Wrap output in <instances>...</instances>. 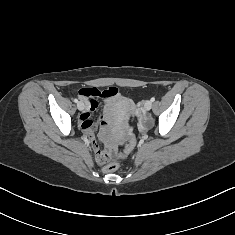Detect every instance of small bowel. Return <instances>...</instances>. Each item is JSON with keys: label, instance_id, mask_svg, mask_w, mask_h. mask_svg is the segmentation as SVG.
Wrapping results in <instances>:
<instances>
[{"label": "small bowel", "instance_id": "small-bowel-1", "mask_svg": "<svg viewBox=\"0 0 235 235\" xmlns=\"http://www.w3.org/2000/svg\"><path fill=\"white\" fill-rule=\"evenodd\" d=\"M89 91L100 92L96 88H83L79 91V97L84 100V109L80 115L81 127L86 131L92 143H95L93 130L98 126L102 131H108L118 128L119 123L129 119L132 112L131 100L118 93L117 90L112 96L102 97L99 95H87ZM98 98H105L102 114L98 122L95 123L92 118V112L98 107Z\"/></svg>", "mask_w": 235, "mask_h": 235}]
</instances>
